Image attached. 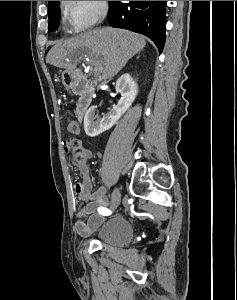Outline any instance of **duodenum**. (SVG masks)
I'll list each match as a JSON object with an SVG mask.
<instances>
[{"label":"duodenum","instance_id":"1","mask_svg":"<svg viewBox=\"0 0 237 300\" xmlns=\"http://www.w3.org/2000/svg\"><path fill=\"white\" fill-rule=\"evenodd\" d=\"M65 83L80 96L76 105V117L78 121H82L92 104L94 88L83 73L78 70L68 71Z\"/></svg>","mask_w":237,"mask_h":300}]
</instances>
